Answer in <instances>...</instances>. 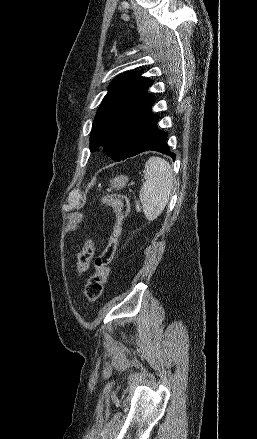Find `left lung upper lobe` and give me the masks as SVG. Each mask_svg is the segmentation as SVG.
Instances as JSON below:
<instances>
[{
	"label": "left lung upper lobe",
	"mask_w": 257,
	"mask_h": 439,
	"mask_svg": "<svg viewBox=\"0 0 257 439\" xmlns=\"http://www.w3.org/2000/svg\"><path fill=\"white\" fill-rule=\"evenodd\" d=\"M140 74L141 71L124 72L110 83L92 124V152L103 146L107 155L120 161L135 147L155 102L146 92L153 81Z\"/></svg>",
	"instance_id": "obj_1"
}]
</instances>
